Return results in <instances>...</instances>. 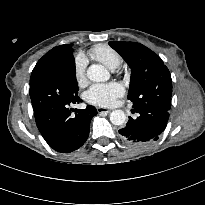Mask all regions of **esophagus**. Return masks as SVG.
<instances>
[{"label": "esophagus", "mask_w": 205, "mask_h": 205, "mask_svg": "<svg viewBox=\"0 0 205 205\" xmlns=\"http://www.w3.org/2000/svg\"><path fill=\"white\" fill-rule=\"evenodd\" d=\"M98 113H110L111 110L103 108V107H97Z\"/></svg>", "instance_id": "1"}]
</instances>
